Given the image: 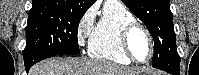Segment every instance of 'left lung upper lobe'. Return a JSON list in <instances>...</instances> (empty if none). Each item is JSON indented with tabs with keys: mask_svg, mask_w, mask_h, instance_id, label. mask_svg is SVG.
Instances as JSON below:
<instances>
[{
	"mask_svg": "<svg viewBox=\"0 0 199 75\" xmlns=\"http://www.w3.org/2000/svg\"><path fill=\"white\" fill-rule=\"evenodd\" d=\"M122 1L145 24L153 37V66L162 64L178 54L169 0Z\"/></svg>",
	"mask_w": 199,
	"mask_h": 75,
	"instance_id": "obj_1",
	"label": "left lung upper lobe"
}]
</instances>
